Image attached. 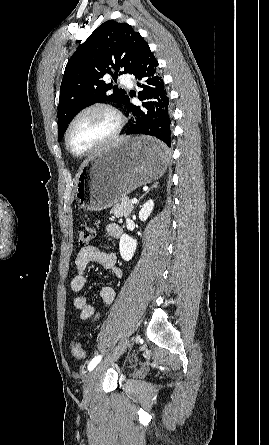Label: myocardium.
<instances>
[{"label":"myocardium","mask_w":269,"mask_h":445,"mask_svg":"<svg viewBox=\"0 0 269 445\" xmlns=\"http://www.w3.org/2000/svg\"><path fill=\"white\" fill-rule=\"evenodd\" d=\"M93 111H102L109 115L111 119L113 120V127L111 131L101 138L99 141H97L95 144H93L91 147L86 149L83 152L75 153L69 145V137L70 133L77 123V121L84 115L93 112ZM125 125V120L122 115V113L113 105L106 103V102H95L92 104H89L83 108H81L79 111H77L74 116L69 121L65 133H64V145L67 150V152L72 155L75 158H84L86 156H89L96 151L100 150L101 148L105 147L109 143H111L113 140H115L120 133L122 132Z\"/></svg>","instance_id":"obj_1"}]
</instances>
